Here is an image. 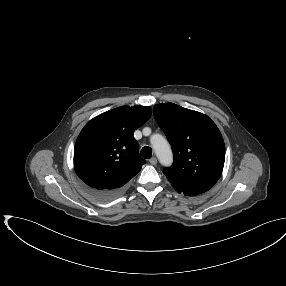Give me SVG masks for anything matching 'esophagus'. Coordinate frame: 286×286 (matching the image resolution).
<instances>
[{
	"label": "esophagus",
	"mask_w": 286,
	"mask_h": 286,
	"mask_svg": "<svg viewBox=\"0 0 286 286\" xmlns=\"http://www.w3.org/2000/svg\"><path fill=\"white\" fill-rule=\"evenodd\" d=\"M149 162H150L151 165H156L157 164V159L155 157H153V158H151L149 160Z\"/></svg>",
	"instance_id": "1"
}]
</instances>
